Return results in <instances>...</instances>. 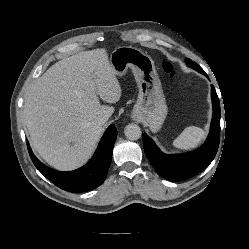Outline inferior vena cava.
<instances>
[{
  "label": "inferior vena cava",
  "instance_id": "inferior-vena-cava-1",
  "mask_svg": "<svg viewBox=\"0 0 249 249\" xmlns=\"http://www.w3.org/2000/svg\"><path fill=\"white\" fill-rule=\"evenodd\" d=\"M108 118H109L108 115H101L97 120L99 124L103 125L108 120Z\"/></svg>",
  "mask_w": 249,
  "mask_h": 249
}]
</instances>
